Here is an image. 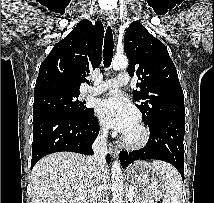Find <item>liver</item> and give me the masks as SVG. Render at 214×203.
<instances>
[{
	"label": "liver",
	"instance_id": "obj_1",
	"mask_svg": "<svg viewBox=\"0 0 214 203\" xmlns=\"http://www.w3.org/2000/svg\"><path fill=\"white\" fill-rule=\"evenodd\" d=\"M87 158L73 152L45 156L31 174L32 203H89Z\"/></svg>",
	"mask_w": 214,
	"mask_h": 203
}]
</instances>
